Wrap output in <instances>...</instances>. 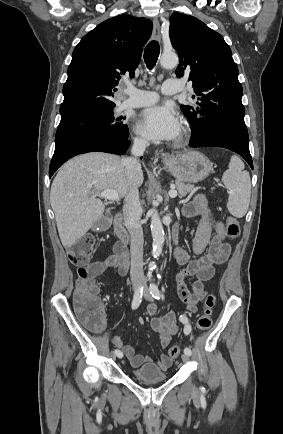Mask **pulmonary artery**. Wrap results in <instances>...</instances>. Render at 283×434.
I'll return each instance as SVG.
<instances>
[{
    "mask_svg": "<svg viewBox=\"0 0 283 434\" xmlns=\"http://www.w3.org/2000/svg\"><path fill=\"white\" fill-rule=\"evenodd\" d=\"M183 89L179 81L169 79L163 83L161 91L165 95H174L182 92ZM125 93L127 98L121 104L122 109L148 106L155 103L159 97L156 92L139 90L130 84L126 86Z\"/></svg>",
    "mask_w": 283,
    "mask_h": 434,
    "instance_id": "obj_1",
    "label": "pulmonary artery"
}]
</instances>
